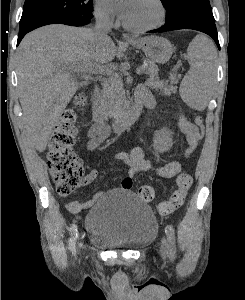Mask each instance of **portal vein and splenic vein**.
<instances>
[{
  "instance_id": "portal-vein-and-splenic-vein-1",
  "label": "portal vein and splenic vein",
  "mask_w": 245,
  "mask_h": 300,
  "mask_svg": "<svg viewBox=\"0 0 245 300\" xmlns=\"http://www.w3.org/2000/svg\"><path fill=\"white\" fill-rule=\"evenodd\" d=\"M105 69L99 65H91L89 67L84 68L80 72L82 73H103ZM145 69L143 66H140L136 69V73L138 75H142L144 73Z\"/></svg>"
}]
</instances>
